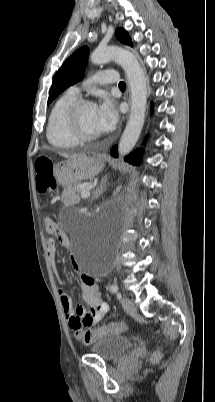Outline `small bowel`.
I'll use <instances>...</instances> for the list:
<instances>
[{"label": "small bowel", "mask_w": 215, "mask_h": 402, "mask_svg": "<svg viewBox=\"0 0 215 402\" xmlns=\"http://www.w3.org/2000/svg\"><path fill=\"white\" fill-rule=\"evenodd\" d=\"M45 230L48 233H55L61 246L66 248L70 246L69 237L62 230L58 229L54 222L51 228H46ZM46 247L50 263L53 267V270L57 273V246L55 240L49 238L46 241ZM74 266L75 268H77L75 263ZM81 280L82 296L84 301L90 307L89 310L83 306H77L76 308H74L71 297L63 288L59 289L61 305L65 317L69 323V326L75 331L80 330L84 326H92L98 323L109 309L107 303H105L102 299L100 288L97 282L93 278L84 274L81 276ZM59 283L63 285V281L60 279Z\"/></svg>", "instance_id": "small-bowel-1"}]
</instances>
